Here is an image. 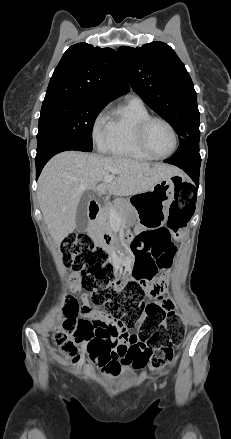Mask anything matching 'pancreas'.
<instances>
[{"label":"pancreas","mask_w":231,"mask_h":439,"mask_svg":"<svg viewBox=\"0 0 231 439\" xmlns=\"http://www.w3.org/2000/svg\"><path fill=\"white\" fill-rule=\"evenodd\" d=\"M113 211L116 213L117 219L120 223L127 222L131 218L134 212L133 207L129 201L122 198L116 199L112 205L105 207L102 210L100 216V222H101V228L103 230L110 228L112 223Z\"/></svg>","instance_id":"1"}]
</instances>
